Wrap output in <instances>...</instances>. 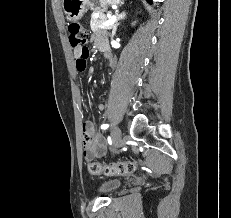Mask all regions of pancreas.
Returning a JSON list of instances; mask_svg holds the SVG:
<instances>
[{
    "mask_svg": "<svg viewBox=\"0 0 231 218\" xmlns=\"http://www.w3.org/2000/svg\"><path fill=\"white\" fill-rule=\"evenodd\" d=\"M107 21V16L102 12L99 13V18H96L94 14L91 15L90 27L93 31H97L100 29H111V26H103L102 23Z\"/></svg>",
    "mask_w": 231,
    "mask_h": 218,
    "instance_id": "pancreas-1",
    "label": "pancreas"
}]
</instances>
